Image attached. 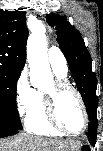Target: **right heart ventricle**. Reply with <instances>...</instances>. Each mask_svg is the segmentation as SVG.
I'll return each mask as SVG.
<instances>
[{"instance_id":"obj_1","label":"right heart ventricle","mask_w":103,"mask_h":151,"mask_svg":"<svg viewBox=\"0 0 103 151\" xmlns=\"http://www.w3.org/2000/svg\"><path fill=\"white\" fill-rule=\"evenodd\" d=\"M58 80H65L66 74L53 69ZM66 81V80H65ZM25 129L27 132L41 136H60L61 132L54 130L47 122L45 115V102L43 92L35 91L33 106L25 116Z\"/></svg>"}]
</instances>
